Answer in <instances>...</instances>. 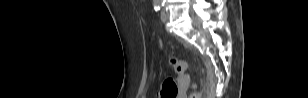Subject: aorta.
I'll return each instance as SVG.
<instances>
[{"instance_id":"obj_1","label":"aorta","mask_w":308,"mask_h":98,"mask_svg":"<svg viewBox=\"0 0 308 98\" xmlns=\"http://www.w3.org/2000/svg\"><path fill=\"white\" fill-rule=\"evenodd\" d=\"M160 2H162V0H156V3H160Z\"/></svg>"}]
</instances>
